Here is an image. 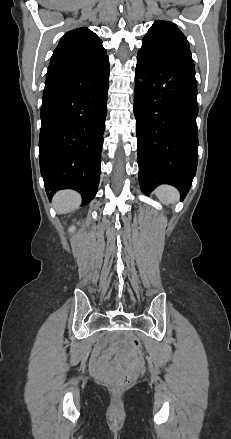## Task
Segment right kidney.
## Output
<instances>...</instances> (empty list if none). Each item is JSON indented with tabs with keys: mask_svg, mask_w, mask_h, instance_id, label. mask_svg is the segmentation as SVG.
<instances>
[{
	"mask_svg": "<svg viewBox=\"0 0 231 439\" xmlns=\"http://www.w3.org/2000/svg\"><path fill=\"white\" fill-rule=\"evenodd\" d=\"M74 229H75L74 227H71L69 230H70V231H73Z\"/></svg>",
	"mask_w": 231,
	"mask_h": 439,
	"instance_id": "right-kidney-1",
	"label": "right kidney"
}]
</instances>
